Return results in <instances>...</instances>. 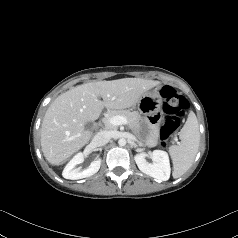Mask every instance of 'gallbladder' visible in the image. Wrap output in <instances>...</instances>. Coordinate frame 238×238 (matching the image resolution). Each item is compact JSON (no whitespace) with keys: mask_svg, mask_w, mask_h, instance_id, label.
<instances>
[{"mask_svg":"<svg viewBox=\"0 0 238 238\" xmlns=\"http://www.w3.org/2000/svg\"><path fill=\"white\" fill-rule=\"evenodd\" d=\"M85 125L86 127L90 128L92 126V122H87Z\"/></svg>","mask_w":238,"mask_h":238,"instance_id":"obj_1","label":"gallbladder"}]
</instances>
